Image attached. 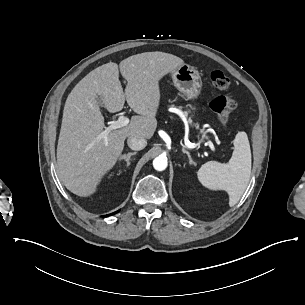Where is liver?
<instances>
[{
    "instance_id": "obj_1",
    "label": "liver",
    "mask_w": 305,
    "mask_h": 305,
    "mask_svg": "<svg viewBox=\"0 0 305 305\" xmlns=\"http://www.w3.org/2000/svg\"><path fill=\"white\" fill-rule=\"evenodd\" d=\"M185 62L171 54L147 52L120 62L102 65L83 78L68 96L57 148V175L75 195L97 193L124 150L125 140L151 139L157 129L161 101L160 82ZM119 70L127 81L125 94ZM108 113L122 110L125 100L139 116L126 127L114 130L108 140L99 135L105 127L99 101Z\"/></svg>"
}]
</instances>
